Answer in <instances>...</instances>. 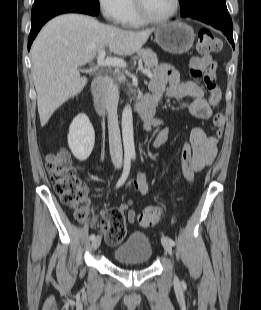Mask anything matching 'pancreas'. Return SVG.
Instances as JSON below:
<instances>
[{
    "label": "pancreas",
    "instance_id": "pancreas-1",
    "mask_svg": "<svg viewBox=\"0 0 261 310\" xmlns=\"http://www.w3.org/2000/svg\"><path fill=\"white\" fill-rule=\"evenodd\" d=\"M138 58L142 59L145 66L149 69L153 70V79L151 81L150 89L154 90V85L157 80V74H155V69L158 67V60L156 54H154L151 50H141L138 52ZM117 79L120 83L126 81V77L122 72L117 73Z\"/></svg>",
    "mask_w": 261,
    "mask_h": 310
}]
</instances>
